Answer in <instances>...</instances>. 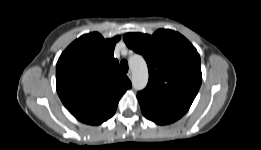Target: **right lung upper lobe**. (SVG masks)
<instances>
[{
	"label": "right lung upper lobe",
	"instance_id": "cb5924a9",
	"mask_svg": "<svg viewBox=\"0 0 261 150\" xmlns=\"http://www.w3.org/2000/svg\"><path fill=\"white\" fill-rule=\"evenodd\" d=\"M119 39H104L97 32L83 35L67 47L57 62L58 95L81 122L98 125L108 120L132 86L113 56Z\"/></svg>",
	"mask_w": 261,
	"mask_h": 150
}]
</instances>
